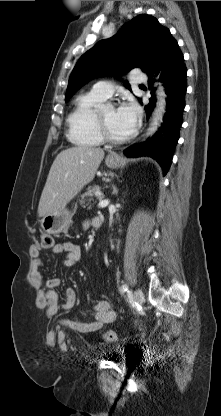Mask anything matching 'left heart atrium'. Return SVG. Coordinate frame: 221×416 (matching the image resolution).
Masks as SVG:
<instances>
[{
  "instance_id": "obj_1",
  "label": "left heart atrium",
  "mask_w": 221,
  "mask_h": 416,
  "mask_svg": "<svg viewBox=\"0 0 221 416\" xmlns=\"http://www.w3.org/2000/svg\"><path fill=\"white\" fill-rule=\"evenodd\" d=\"M117 117L124 128L125 132L130 135L137 126L139 117V108L132 102L123 103L117 110Z\"/></svg>"
}]
</instances>
